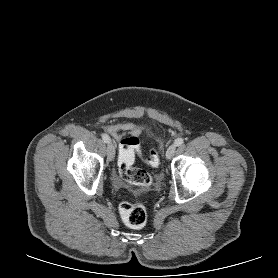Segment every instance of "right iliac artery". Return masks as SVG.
Segmentation results:
<instances>
[{
  "instance_id": "obj_1",
  "label": "right iliac artery",
  "mask_w": 278,
  "mask_h": 278,
  "mask_svg": "<svg viewBox=\"0 0 278 278\" xmlns=\"http://www.w3.org/2000/svg\"><path fill=\"white\" fill-rule=\"evenodd\" d=\"M102 139L105 143H109L111 141L107 134H102Z\"/></svg>"
}]
</instances>
